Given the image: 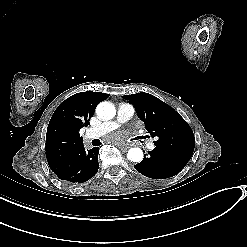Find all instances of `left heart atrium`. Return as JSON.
Returning <instances> with one entry per match:
<instances>
[{
  "label": "left heart atrium",
  "instance_id": "obj_1",
  "mask_svg": "<svg viewBox=\"0 0 247 247\" xmlns=\"http://www.w3.org/2000/svg\"><path fill=\"white\" fill-rule=\"evenodd\" d=\"M101 134H98V136ZM130 132L128 130H119L115 133L103 136V140L106 143L122 144L128 140Z\"/></svg>",
  "mask_w": 247,
  "mask_h": 247
}]
</instances>
